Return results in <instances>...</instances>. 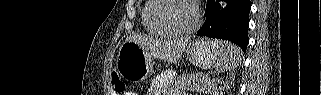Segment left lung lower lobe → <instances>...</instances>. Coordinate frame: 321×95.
<instances>
[{
	"instance_id": "left-lung-lower-lobe-1",
	"label": "left lung lower lobe",
	"mask_w": 321,
	"mask_h": 95,
	"mask_svg": "<svg viewBox=\"0 0 321 95\" xmlns=\"http://www.w3.org/2000/svg\"><path fill=\"white\" fill-rule=\"evenodd\" d=\"M250 8V0H228L221 12L218 0H207L206 20L197 35L232 41L245 52L249 43Z\"/></svg>"
}]
</instances>
